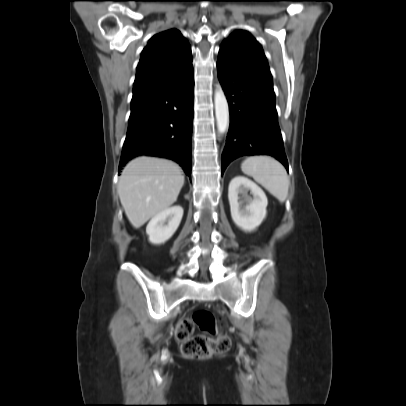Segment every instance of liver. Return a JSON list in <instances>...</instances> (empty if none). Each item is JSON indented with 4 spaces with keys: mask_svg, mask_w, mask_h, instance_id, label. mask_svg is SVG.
<instances>
[{
    "mask_svg": "<svg viewBox=\"0 0 406 406\" xmlns=\"http://www.w3.org/2000/svg\"><path fill=\"white\" fill-rule=\"evenodd\" d=\"M176 163L141 156L130 161L119 178L118 194L125 214L134 228L168 209L184 184Z\"/></svg>",
    "mask_w": 406,
    "mask_h": 406,
    "instance_id": "obj_1",
    "label": "liver"
}]
</instances>
